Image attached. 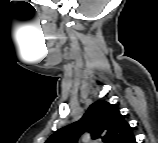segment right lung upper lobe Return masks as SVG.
Returning a JSON list of instances; mask_svg holds the SVG:
<instances>
[{"instance_id": "right-lung-upper-lobe-1", "label": "right lung upper lobe", "mask_w": 158, "mask_h": 143, "mask_svg": "<svg viewBox=\"0 0 158 143\" xmlns=\"http://www.w3.org/2000/svg\"><path fill=\"white\" fill-rule=\"evenodd\" d=\"M83 132H89L92 138L103 136L108 143H130L134 139L132 128L120 111L100 100L90 105L81 121L59 129L46 143H77Z\"/></svg>"}]
</instances>
